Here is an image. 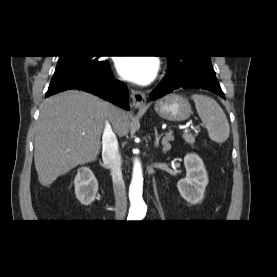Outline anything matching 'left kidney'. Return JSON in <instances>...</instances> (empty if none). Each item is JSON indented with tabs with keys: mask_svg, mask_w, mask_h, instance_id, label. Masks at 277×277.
I'll return each instance as SVG.
<instances>
[{
	"mask_svg": "<svg viewBox=\"0 0 277 277\" xmlns=\"http://www.w3.org/2000/svg\"><path fill=\"white\" fill-rule=\"evenodd\" d=\"M186 177L179 180L177 188L181 196L191 204H198L208 185V175L202 159L195 153L184 157Z\"/></svg>",
	"mask_w": 277,
	"mask_h": 277,
	"instance_id": "5707ae66",
	"label": "left kidney"
}]
</instances>
